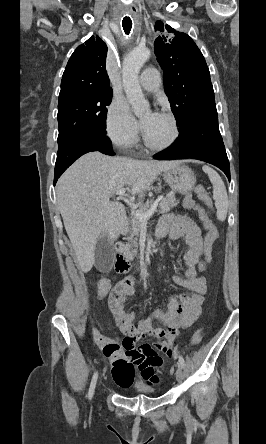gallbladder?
Listing matches in <instances>:
<instances>
[{
	"label": "gallbladder",
	"mask_w": 266,
	"mask_h": 444,
	"mask_svg": "<svg viewBox=\"0 0 266 444\" xmlns=\"http://www.w3.org/2000/svg\"><path fill=\"white\" fill-rule=\"evenodd\" d=\"M114 264V250L107 235L101 237L95 249V267L103 272H108Z\"/></svg>",
	"instance_id": "1"
}]
</instances>
